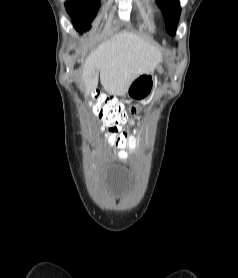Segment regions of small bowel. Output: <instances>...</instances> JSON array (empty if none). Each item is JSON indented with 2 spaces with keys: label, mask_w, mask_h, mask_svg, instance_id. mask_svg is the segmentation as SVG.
<instances>
[{
  "label": "small bowel",
  "mask_w": 238,
  "mask_h": 278,
  "mask_svg": "<svg viewBox=\"0 0 238 278\" xmlns=\"http://www.w3.org/2000/svg\"><path fill=\"white\" fill-rule=\"evenodd\" d=\"M119 137H128V136H119ZM113 144H116V142H113ZM122 150L124 151L125 149H122Z\"/></svg>",
  "instance_id": "small-bowel-1"
}]
</instances>
